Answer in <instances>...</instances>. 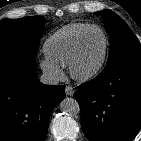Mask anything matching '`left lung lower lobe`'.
<instances>
[{"label":"left lung lower lobe","instance_id":"obj_1","mask_svg":"<svg viewBox=\"0 0 141 141\" xmlns=\"http://www.w3.org/2000/svg\"><path fill=\"white\" fill-rule=\"evenodd\" d=\"M74 97L90 141H131L141 129V58L105 66Z\"/></svg>","mask_w":141,"mask_h":141}]
</instances>
